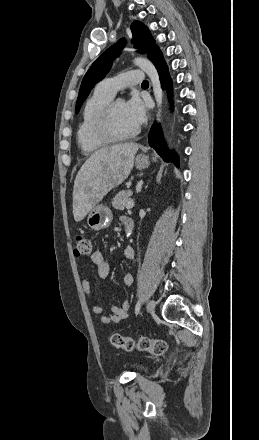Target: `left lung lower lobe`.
<instances>
[{
	"label": "left lung lower lobe",
	"instance_id": "0a47b994",
	"mask_svg": "<svg viewBox=\"0 0 259 440\" xmlns=\"http://www.w3.org/2000/svg\"><path fill=\"white\" fill-rule=\"evenodd\" d=\"M150 60L154 63L156 66L159 75L161 83L166 87L169 93V97H171L172 94V87H171V79L168 74V68L166 63L164 62L162 53L159 48H157L153 54L150 57ZM149 145L153 147L157 153L163 157V159L166 162H173L176 164V166L179 165L178 156L173 151L170 153H167L165 146H164V140L162 136V130L159 125L154 124L150 130L149 133Z\"/></svg>",
	"mask_w": 259,
	"mask_h": 440
}]
</instances>
